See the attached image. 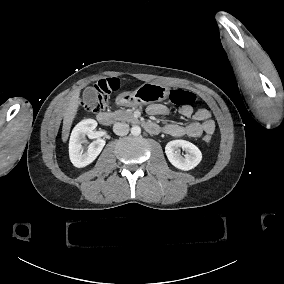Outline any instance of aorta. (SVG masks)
<instances>
[{"label":"aorta","mask_w":284,"mask_h":284,"mask_svg":"<svg viewBox=\"0 0 284 284\" xmlns=\"http://www.w3.org/2000/svg\"><path fill=\"white\" fill-rule=\"evenodd\" d=\"M131 134L134 136H138L141 134V128L138 125H134L131 128Z\"/></svg>","instance_id":"1"}]
</instances>
